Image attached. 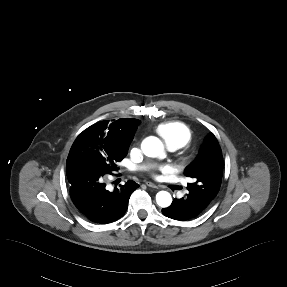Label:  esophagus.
I'll return each instance as SVG.
<instances>
[{
	"mask_svg": "<svg viewBox=\"0 0 287 287\" xmlns=\"http://www.w3.org/2000/svg\"><path fill=\"white\" fill-rule=\"evenodd\" d=\"M146 185H147L148 187L158 189V186H157V185H155V184H154V183H152V182H146Z\"/></svg>",
	"mask_w": 287,
	"mask_h": 287,
	"instance_id": "1",
	"label": "esophagus"
}]
</instances>
